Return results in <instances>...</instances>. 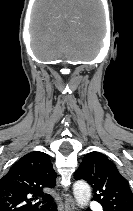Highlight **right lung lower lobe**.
I'll return each instance as SVG.
<instances>
[{
  "label": "right lung lower lobe",
  "instance_id": "obj_1",
  "mask_svg": "<svg viewBox=\"0 0 133 211\" xmlns=\"http://www.w3.org/2000/svg\"><path fill=\"white\" fill-rule=\"evenodd\" d=\"M52 211H57V208L55 205L52 206Z\"/></svg>",
  "mask_w": 133,
  "mask_h": 211
}]
</instances>
